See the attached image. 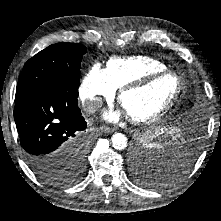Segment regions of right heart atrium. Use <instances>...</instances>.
<instances>
[{
	"mask_svg": "<svg viewBox=\"0 0 221 221\" xmlns=\"http://www.w3.org/2000/svg\"><path fill=\"white\" fill-rule=\"evenodd\" d=\"M115 93L116 87L99 64H94L86 72L79 89L82 105L89 112L96 110L103 99H112Z\"/></svg>",
	"mask_w": 221,
	"mask_h": 221,
	"instance_id": "d8ad5b80",
	"label": "right heart atrium"
}]
</instances>
